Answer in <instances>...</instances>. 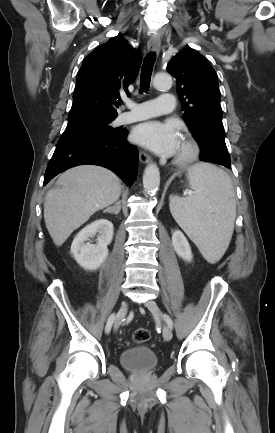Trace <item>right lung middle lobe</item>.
I'll return each mask as SVG.
<instances>
[{"instance_id": "dd1d6c3e", "label": "right lung middle lobe", "mask_w": 275, "mask_h": 433, "mask_svg": "<svg viewBox=\"0 0 275 433\" xmlns=\"http://www.w3.org/2000/svg\"><path fill=\"white\" fill-rule=\"evenodd\" d=\"M116 116L85 115L68 118L67 127L61 137L71 135L112 136L120 132L109 124Z\"/></svg>"}]
</instances>
